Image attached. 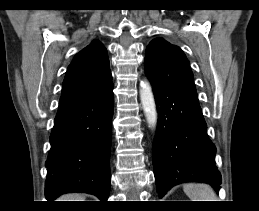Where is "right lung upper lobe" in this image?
<instances>
[{
	"label": "right lung upper lobe",
	"mask_w": 259,
	"mask_h": 211,
	"mask_svg": "<svg viewBox=\"0 0 259 211\" xmlns=\"http://www.w3.org/2000/svg\"><path fill=\"white\" fill-rule=\"evenodd\" d=\"M112 85L107 50L98 40H93L68 66L59 107L92 98Z\"/></svg>",
	"instance_id": "1"
}]
</instances>
